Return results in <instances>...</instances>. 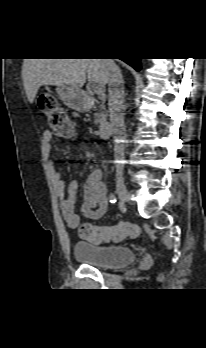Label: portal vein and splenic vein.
Returning a JSON list of instances; mask_svg holds the SVG:
<instances>
[{"mask_svg":"<svg viewBox=\"0 0 206 348\" xmlns=\"http://www.w3.org/2000/svg\"><path fill=\"white\" fill-rule=\"evenodd\" d=\"M93 91L98 95H102L104 92V88H103V86H101L99 84H95V85H93Z\"/></svg>","mask_w":206,"mask_h":348,"instance_id":"1","label":"portal vein and splenic vein"}]
</instances>
